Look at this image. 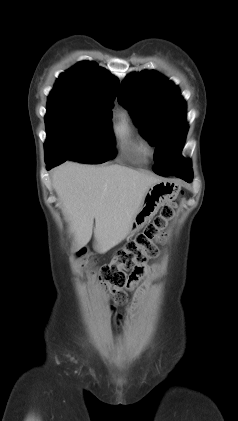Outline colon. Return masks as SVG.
Returning a JSON list of instances; mask_svg holds the SVG:
<instances>
[{
    "label": "colon",
    "mask_w": 238,
    "mask_h": 421,
    "mask_svg": "<svg viewBox=\"0 0 238 421\" xmlns=\"http://www.w3.org/2000/svg\"><path fill=\"white\" fill-rule=\"evenodd\" d=\"M175 206V202L164 206L143 232L115 251L111 261L101 268V280L117 301H122L124 291L131 288L132 273L157 255V246L165 238V229L174 216Z\"/></svg>",
    "instance_id": "colon-1"
}]
</instances>
